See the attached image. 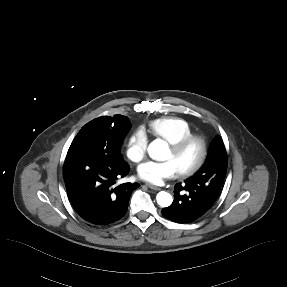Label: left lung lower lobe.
<instances>
[{
  "instance_id": "obj_1",
  "label": "left lung lower lobe",
  "mask_w": 287,
  "mask_h": 287,
  "mask_svg": "<svg viewBox=\"0 0 287 287\" xmlns=\"http://www.w3.org/2000/svg\"><path fill=\"white\" fill-rule=\"evenodd\" d=\"M185 193V194H183ZM174 201L162 209V214L178 223L193 222L205 214L215 202L217 196H207L192 185L177 183L174 187Z\"/></svg>"
}]
</instances>
